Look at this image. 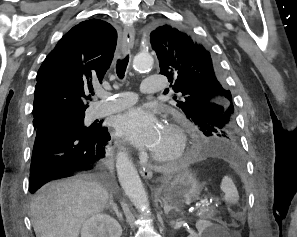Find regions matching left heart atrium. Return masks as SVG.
<instances>
[{
	"mask_svg": "<svg viewBox=\"0 0 297 237\" xmlns=\"http://www.w3.org/2000/svg\"><path fill=\"white\" fill-rule=\"evenodd\" d=\"M163 124L157 115L143 107L132 108L115 119L116 132L134 146L152 151L157 145Z\"/></svg>",
	"mask_w": 297,
	"mask_h": 237,
	"instance_id": "obj_1",
	"label": "left heart atrium"
}]
</instances>
